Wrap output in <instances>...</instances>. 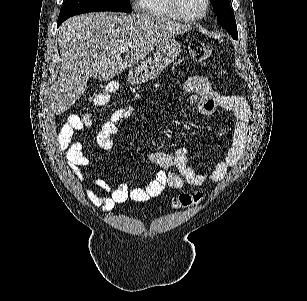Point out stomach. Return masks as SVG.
Wrapping results in <instances>:
<instances>
[{
  "label": "stomach",
  "mask_w": 307,
  "mask_h": 301,
  "mask_svg": "<svg viewBox=\"0 0 307 301\" xmlns=\"http://www.w3.org/2000/svg\"><path fill=\"white\" fill-rule=\"evenodd\" d=\"M181 50V42H178L176 38L163 40V42L157 44L153 56L144 58V60H141L139 64H136V66L129 70L128 82L136 86V84H142V82L157 78L160 72L179 56Z\"/></svg>",
  "instance_id": "0dacf381"
}]
</instances>
